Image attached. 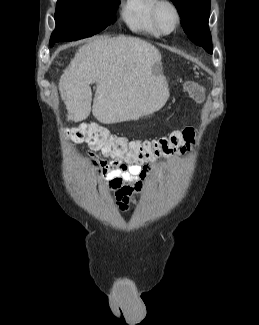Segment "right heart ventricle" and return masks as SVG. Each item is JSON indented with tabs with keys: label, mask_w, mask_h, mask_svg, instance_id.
I'll return each instance as SVG.
<instances>
[{
	"label": "right heart ventricle",
	"mask_w": 259,
	"mask_h": 325,
	"mask_svg": "<svg viewBox=\"0 0 259 325\" xmlns=\"http://www.w3.org/2000/svg\"><path fill=\"white\" fill-rule=\"evenodd\" d=\"M155 3L156 0H124L120 10L121 18L134 31L159 36L161 34L151 18Z\"/></svg>",
	"instance_id": "obj_1"
}]
</instances>
